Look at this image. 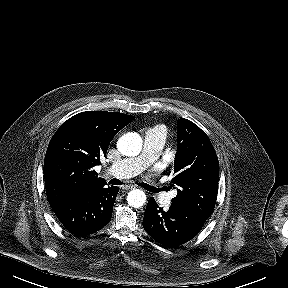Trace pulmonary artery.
Listing matches in <instances>:
<instances>
[{
  "instance_id": "1",
  "label": "pulmonary artery",
  "mask_w": 288,
  "mask_h": 288,
  "mask_svg": "<svg viewBox=\"0 0 288 288\" xmlns=\"http://www.w3.org/2000/svg\"><path fill=\"white\" fill-rule=\"evenodd\" d=\"M166 142V133L163 127L149 129L144 136V146L140 155L123 159L111 164L109 173L116 178H127L141 173L159 156ZM175 193L159 192V201L164 207L171 204Z\"/></svg>"
}]
</instances>
